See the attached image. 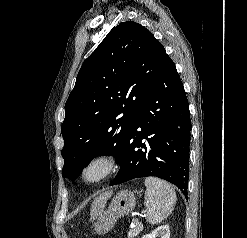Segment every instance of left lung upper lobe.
<instances>
[{"label": "left lung upper lobe", "mask_w": 247, "mask_h": 238, "mask_svg": "<svg viewBox=\"0 0 247 238\" xmlns=\"http://www.w3.org/2000/svg\"><path fill=\"white\" fill-rule=\"evenodd\" d=\"M167 57L140 24L126 21L112 28L84 61L65 104L63 178L75 179L99 155L121 161L133 122Z\"/></svg>", "instance_id": "5c2ea615"}]
</instances>
